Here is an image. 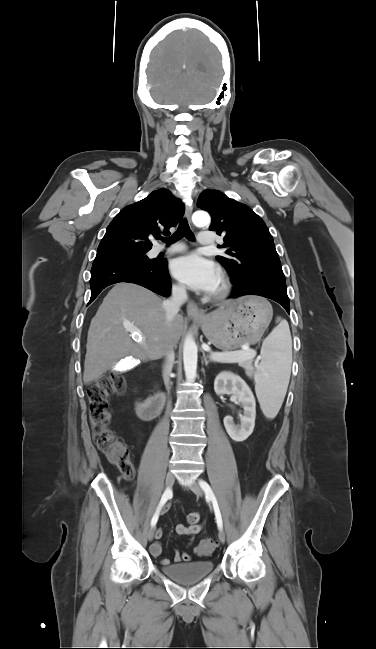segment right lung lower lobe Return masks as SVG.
<instances>
[{
	"label": "right lung lower lobe",
	"mask_w": 376,
	"mask_h": 649,
	"mask_svg": "<svg viewBox=\"0 0 376 649\" xmlns=\"http://www.w3.org/2000/svg\"><path fill=\"white\" fill-rule=\"evenodd\" d=\"M118 282L135 283L157 294L170 295L171 282L165 259L154 260L150 263L112 261L92 266L89 303L105 287Z\"/></svg>",
	"instance_id": "obj_1"
}]
</instances>
